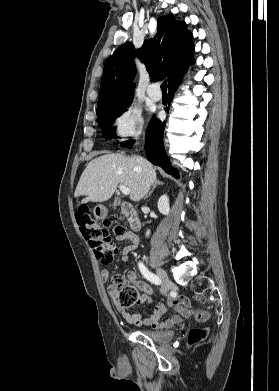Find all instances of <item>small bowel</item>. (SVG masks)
<instances>
[{"instance_id":"obj_1","label":"small bowel","mask_w":279,"mask_h":391,"mask_svg":"<svg viewBox=\"0 0 279 391\" xmlns=\"http://www.w3.org/2000/svg\"><path fill=\"white\" fill-rule=\"evenodd\" d=\"M117 240L120 242L131 240V244L125 246L121 254L122 261H128L132 252L138 248V240L128 233L118 236ZM108 277L109 272L106 269L102 270L101 279L103 281H107ZM128 278L130 282L134 284L136 289L141 292L140 303L155 305L152 314L147 318H142V316L137 313H130L121 305H117V310L121 314L122 318L130 324L138 327L145 326L152 327L153 329H166L180 323L185 318L195 317L199 321H205L209 317V314L206 311H194L190 300L183 296H172L167 300L166 304L158 301L152 297L153 290L149 284L144 281L137 280L135 274L132 272L129 273ZM108 292L111 297L116 298V288L109 287ZM168 307L174 308L177 311V314L162 322L161 318L166 313Z\"/></svg>"}]
</instances>
